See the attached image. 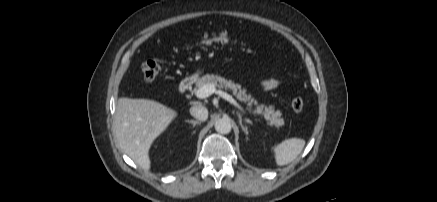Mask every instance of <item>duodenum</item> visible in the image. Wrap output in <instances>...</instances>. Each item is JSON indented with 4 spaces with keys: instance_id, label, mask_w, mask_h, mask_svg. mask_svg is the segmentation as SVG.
Here are the masks:
<instances>
[{
    "instance_id": "obj_1",
    "label": "duodenum",
    "mask_w": 437,
    "mask_h": 202,
    "mask_svg": "<svg viewBox=\"0 0 437 202\" xmlns=\"http://www.w3.org/2000/svg\"><path fill=\"white\" fill-rule=\"evenodd\" d=\"M193 83H194V79L192 77L184 78L179 84L178 87L179 92L181 94L186 93L190 89Z\"/></svg>"
}]
</instances>
